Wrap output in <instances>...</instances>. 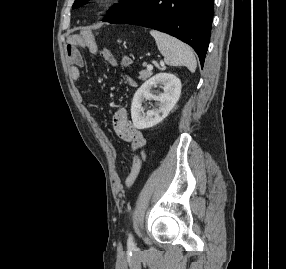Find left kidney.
<instances>
[{
	"instance_id": "left-kidney-1",
	"label": "left kidney",
	"mask_w": 286,
	"mask_h": 269,
	"mask_svg": "<svg viewBox=\"0 0 286 269\" xmlns=\"http://www.w3.org/2000/svg\"><path fill=\"white\" fill-rule=\"evenodd\" d=\"M160 85L163 92L158 95L152 94L151 89ZM181 81L173 74L158 73L147 80L135 93L131 105V117L133 125L137 129H146L160 123L168 116L173 109L181 94ZM144 100H154L157 107L142 111V102Z\"/></svg>"
}]
</instances>
